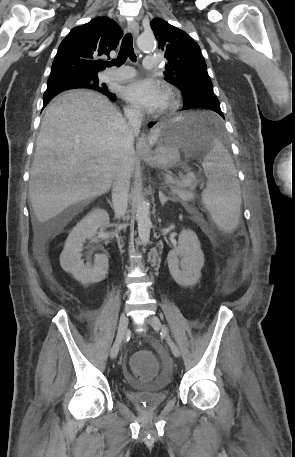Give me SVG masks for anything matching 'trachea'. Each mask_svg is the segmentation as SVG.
<instances>
[{
	"mask_svg": "<svg viewBox=\"0 0 295 457\" xmlns=\"http://www.w3.org/2000/svg\"><path fill=\"white\" fill-rule=\"evenodd\" d=\"M130 58L131 61L135 62L136 61V55L134 53V48H133V38L130 33L126 34L122 40L121 43V48L118 54V57L111 61L107 62L106 66L111 67V66H121L122 64L125 63L127 58Z\"/></svg>",
	"mask_w": 295,
	"mask_h": 457,
	"instance_id": "obj_1",
	"label": "trachea"
}]
</instances>
